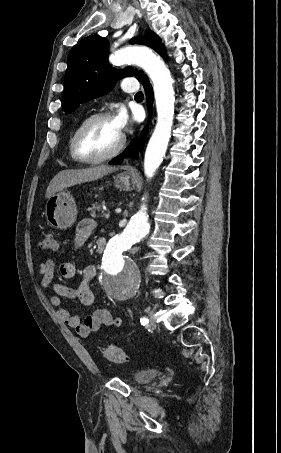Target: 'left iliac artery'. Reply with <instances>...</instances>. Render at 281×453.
Wrapping results in <instances>:
<instances>
[{
    "instance_id": "1",
    "label": "left iliac artery",
    "mask_w": 281,
    "mask_h": 453,
    "mask_svg": "<svg viewBox=\"0 0 281 453\" xmlns=\"http://www.w3.org/2000/svg\"><path fill=\"white\" fill-rule=\"evenodd\" d=\"M140 322L142 325H145V324L149 323V320L147 318H141Z\"/></svg>"
}]
</instances>
